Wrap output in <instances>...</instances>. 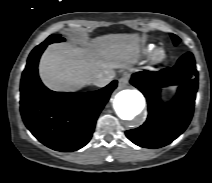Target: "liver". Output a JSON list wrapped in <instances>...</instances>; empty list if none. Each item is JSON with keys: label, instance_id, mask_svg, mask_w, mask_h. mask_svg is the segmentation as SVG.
<instances>
[{"label": "liver", "instance_id": "6515ba94", "mask_svg": "<svg viewBox=\"0 0 212 183\" xmlns=\"http://www.w3.org/2000/svg\"><path fill=\"white\" fill-rule=\"evenodd\" d=\"M139 52L135 34L104 35L81 46L51 44L42 55L39 74L49 89L74 92L91 84L99 72L136 63Z\"/></svg>", "mask_w": 212, "mask_h": 183}]
</instances>
